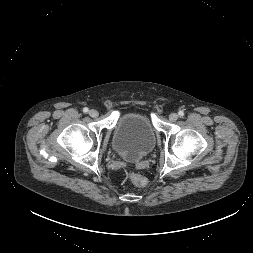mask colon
I'll return each instance as SVG.
<instances>
[{
    "label": "colon",
    "instance_id": "colon-1",
    "mask_svg": "<svg viewBox=\"0 0 253 253\" xmlns=\"http://www.w3.org/2000/svg\"><path fill=\"white\" fill-rule=\"evenodd\" d=\"M129 179L137 186L143 187L146 185L147 181L146 179L137 173H129L128 174Z\"/></svg>",
    "mask_w": 253,
    "mask_h": 253
}]
</instances>
